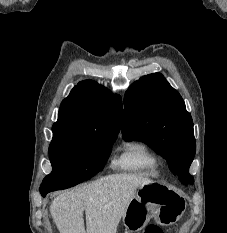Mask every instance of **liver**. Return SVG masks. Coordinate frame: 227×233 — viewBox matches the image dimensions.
<instances>
[{
    "instance_id": "6515ba94",
    "label": "liver",
    "mask_w": 227,
    "mask_h": 233,
    "mask_svg": "<svg viewBox=\"0 0 227 233\" xmlns=\"http://www.w3.org/2000/svg\"><path fill=\"white\" fill-rule=\"evenodd\" d=\"M150 183L153 181L137 174L105 176L57 196L50 213L60 233H116L137 189Z\"/></svg>"
}]
</instances>
